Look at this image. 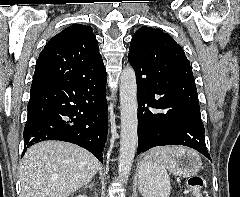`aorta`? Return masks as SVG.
Masks as SVG:
<instances>
[{
  "mask_svg": "<svg viewBox=\"0 0 240 197\" xmlns=\"http://www.w3.org/2000/svg\"><path fill=\"white\" fill-rule=\"evenodd\" d=\"M121 140L118 159L119 178L126 183L138 141V102L135 71L126 66L120 76Z\"/></svg>",
  "mask_w": 240,
  "mask_h": 197,
  "instance_id": "1",
  "label": "aorta"
}]
</instances>
